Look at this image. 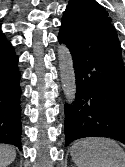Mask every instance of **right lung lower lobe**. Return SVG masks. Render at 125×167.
<instances>
[{
    "instance_id": "obj_1",
    "label": "right lung lower lobe",
    "mask_w": 125,
    "mask_h": 167,
    "mask_svg": "<svg viewBox=\"0 0 125 167\" xmlns=\"http://www.w3.org/2000/svg\"><path fill=\"white\" fill-rule=\"evenodd\" d=\"M18 57L0 30V143L21 150V89Z\"/></svg>"
}]
</instances>
